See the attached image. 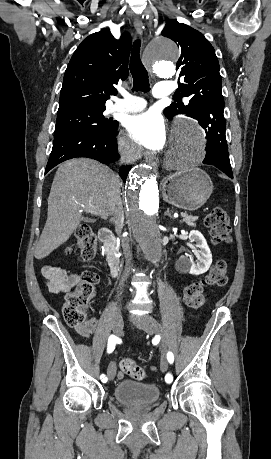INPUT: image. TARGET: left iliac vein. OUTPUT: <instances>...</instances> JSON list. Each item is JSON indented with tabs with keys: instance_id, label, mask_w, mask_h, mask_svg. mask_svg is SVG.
I'll return each mask as SVG.
<instances>
[{
	"instance_id": "left-iliac-vein-1",
	"label": "left iliac vein",
	"mask_w": 271,
	"mask_h": 459,
	"mask_svg": "<svg viewBox=\"0 0 271 459\" xmlns=\"http://www.w3.org/2000/svg\"><path fill=\"white\" fill-rule=\"evenodd\" d=\"M136 325H138L141 329L145 330L147 333L151 335H162V329L159 322L149 315H144L137 319H131ZM168 367V359H167V342L163 338L161 343V361H160V368L162 371H166Z\"/></svg>"
}]
</instances>
